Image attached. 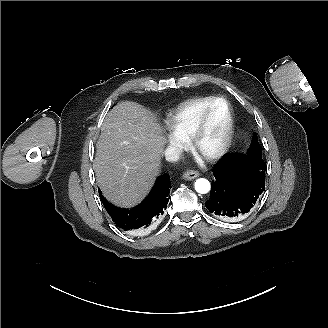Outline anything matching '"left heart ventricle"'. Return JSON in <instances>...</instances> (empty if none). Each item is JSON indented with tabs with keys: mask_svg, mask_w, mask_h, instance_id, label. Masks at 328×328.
<instances>
[{
	"mask_svg": "<svg viewBox=\"0 0 328 328\" xmlns=\"http://www.w3.org/2000/svg\"><path fill=\"white\" fill-rule=\"evenodd\" d=\"M228 122V112L224 104L219 103L204 118L201 125V148L205 152L214 151L221 143Z\"/></svg>",
	"mask_w": 328,
	"mask_h": 328,
	"instance_id": "b2bd125f",
	"label": "left heart ventricle"
}]
</instances>
